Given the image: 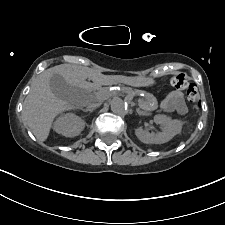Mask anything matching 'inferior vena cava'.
I'll use <instances>...</instances> for the list:
<instances>
[{
    "mask_svg": "<svg viewBox=\"0 0 225 225\" xmlns=\"http://www.w3.org/2000/svg\"><path fill=\"white\" fill-rule=\"evenodd\" d=\"M103 100H104V98L102 96H97L95 98L94 102L89 104L87 106V108L95 109V108L99 107L102 104Z\"/></svg>",
    "mask_w": 225,
    "mask_h": 225,
    "instance_id": "inferior-vena-cava-1",
    "label": "inferior vena cava"
}]
</instances>
